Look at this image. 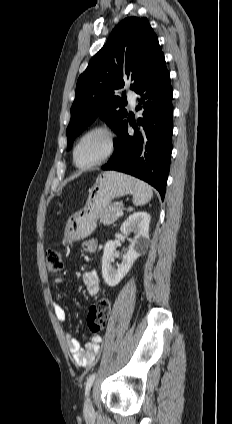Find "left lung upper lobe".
Segmentation results:
<instances>
[{
    "mask_svg": "<svg viewBox=\"0 0 232 424\" xmlns=\"http://www.w3.org/2000/svg\"><path fill=\"white\" fill-rule=\"evenodd\" d=\"M163 58L158 38L146 18L127 17L121 21L78 78L66 130L67 150L97 117L118 135L127 118L117 95L124 87V79L131 80L135 91Z\"/></svg>",
    "mask_w": 232,
    "mask_h": 424,
    "instance_id": "obj_1",
    "label": "left lung upper lobe"
}]
</instances>
